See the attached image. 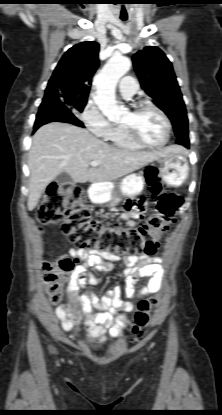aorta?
<instances>
[{"mask_svg": "<svg viewBox=\"0 0 222 415\" xmlns=\"http://www.w3.org/2000/svg\"><path fill=\"white\" fill-rule=\"evenodd\" d=\"M130 67L131 61L129 58L114 55L94 78L96 86L95 103L108 119L118 118L122 114V110L117 105L115 89L119 79L130 70Z\"/></svg>", "mask_w": 222, "mask_h": 415, "instance_id": "aorta-1", "label": "aorta"}]
</instances>
